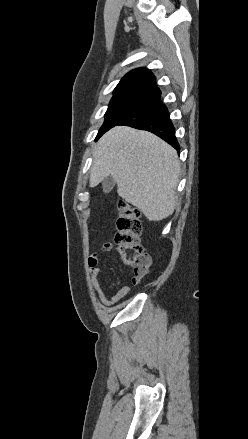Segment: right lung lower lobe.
Returning <instances> with one entry per match:
<instances>
[{"label": "right lung lower lobe", "mask_w": 248, "mask_h": 439, "mask_svg": "<svg viewBox=\"0 0 248 439\" xmlns=\"http://www.w3.org/2000/svg\"><path fill=\"white\" fill-rule=\"evenodd\" d=\"M116 125H127L137 129L150 131L173 146L178 153L180 151V146L175 137L174 126L169 118V112L166 106L162 103L160 96L152 99L150 102L126 116L112 127Z\"/></svg>", "instance_id": "1"}]
</instances>
